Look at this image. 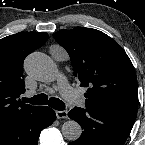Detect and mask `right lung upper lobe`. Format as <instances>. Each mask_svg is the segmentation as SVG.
Masks as SVG:
<instances>
[{"mask_svg": "<svg viewBox=\"0 0 145 145\" xmlns=\"http://www.w3.org/2000/svg\"><path fill=\"white\" fill-rule=\"evenodd\" d=\"M47 39V33L36 32H19L0 39V126L37 108L19 99L25 92L23 62Z\"/></svg>", "mask_w": 145, "mask_h": 145, "instance_id": "right-lung-upper-lobe-1", "label": "right lung upper lobe"}]
</instances>
